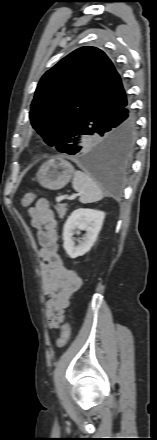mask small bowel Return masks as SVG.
Returning a JSON list of instances; mask_svg holds the SVG:
<instances>
[{
  "mask_svg": "<svg viewBox=\"0 0 157 440\" xmlns=\"http://www.w3.org/2000/svg\"><path fill=\"white\" fill-rule=\"evenodd\" d=\"M31 226L37 232L38 255L42 261L41 274L47 297L46 317L51 328H58L65 318L69 299L82 284L78 274L68 269L58 254L57 220L46 199H39L27 211Z\"/></svg>",
  "mask_w": 157,
  "mask_h": 440,
  "instance_id": "obj_1",
  "label": "small bowel"
}]
</instances>
